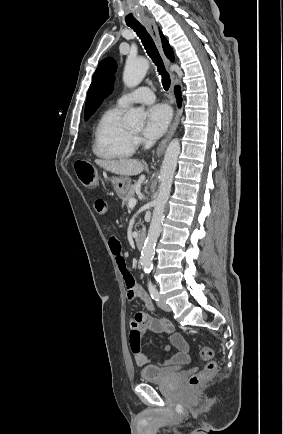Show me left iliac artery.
Here are the masks:
<instances>
[{
  "label": "left iliac artery",
  "mask_w": 283,
  "mask_h": 434,
  "mask_svg": "<svg viewBox=\"0 0 283 434\" xmlns=\"http://www.w3.org/2000/svg\"><path fill=\"white\" fill-rule=\"evenodd\" d=\"M148 289H149V293L152 297V299H154L155 301L159 300V293L156 289V287L151 283V281H148Z\"/></svg>",
  "instance_id": "left-iliac-artery-1"
}]
</instances>
